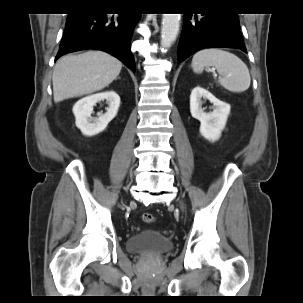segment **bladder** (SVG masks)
Returning a JSON list of instances; mask_svg holds the SVG:
<instances>
[{
    "instance_id": "1",
    "label": "bladder",
    "mask_w": 303,
    "mask_h": 303,
    "mask_svg": "<svg viewBox=\"0 0 303 303\" xmlns=\"http://www.w3.org/2000/svg\"><path fill=\"white\" fill-rule=\"evenodd\" d=\"M174 248V242L156 230L146 228L133 235L126 241V250L137 254H161Z\"/></svg>"
}]
</instances>
